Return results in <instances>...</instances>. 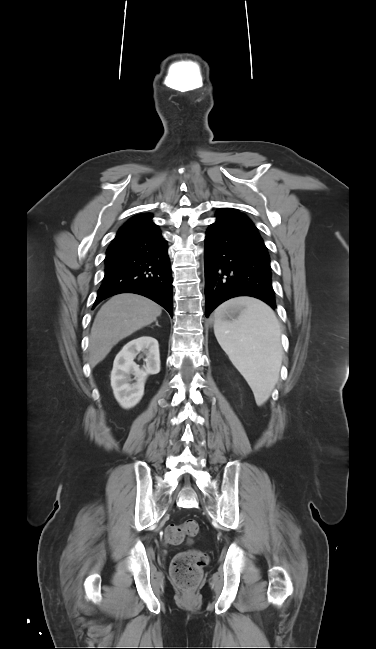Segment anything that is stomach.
<instances>
[{
  "instance_id": "0dacf381",
  "label": "stomach",
  "mask_w": 376,
  "mask_h": 649,
  "mask_svg": "<svg viewBox=\"0 0 376 649\" xmlns=\"http://www.w3.org/2000/svg\"><path fill=\"white\" fill-rule=\"evenodd\" d=\"M243 310H244V307H242V306H237V305L231 306V307L227 308L224 311V313L222 315V319L224 321H227V318L234 319V318L238 317L242 313Z\"/></svg>"
}]
</instances>
